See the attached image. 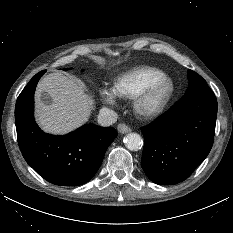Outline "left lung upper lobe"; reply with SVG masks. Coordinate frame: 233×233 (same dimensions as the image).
Here are the masks:
<instances>
[{
	"instance_id": "1",
	"label": "left lung upper lobe",
	"mask_w": 233,
	"mask_h": 233,
	"mask_svg": "<svg viewBox=\"0 0 233 233\" xmlns=\"http://www.w3.org/2000/svg\"><path fill=\"white\" fill-rule=\"evenodd\" d=\"M188 80L189 85L187 91L185 92V95L210 89L209 86L206 84V81L199 74L192 70H188Z\"/></svg>"
}]
</instances>
